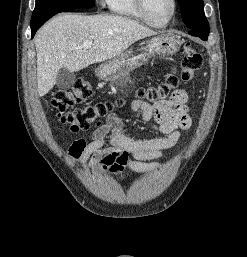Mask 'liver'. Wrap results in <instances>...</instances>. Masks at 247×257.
<instances>
[{"label": "liver", "mask_w": 247, "mask_h": 257, "mask_svg": "<svg viewBox=\"0 0 247 257\" xmlns=\"http://www.w3.org/2000/svg\"><path fill=\"white\" fill-rule=\"evenodd\" d=\"M157 33L138 22L117 15L62 14L46 23L35 38L38 95L56 84L61 68L80 71L111 60L133 43ZM93 45L84 50V41Z\"/></svg>", "instance_id": "obj_1"}]
</instances>
